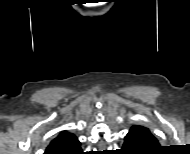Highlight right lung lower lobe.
<instances>
[{
    "mask_svg": "<svg viewBox=\"0 0 190 154\" xmlns=\"http://www.w3.org/2000/svg\"><path fill=\"white\" fill-rule=\"evenodd\" d=\"M82 153V151L81 150H79V151H77L75 154H81Z\"/></svg>",
    "mask_w": 190,
    "mask_h": 154,
    "instance_id": "right-lung-lower-lobe-1",
    "label": "right lung lower lobe"
}]
</instances>
